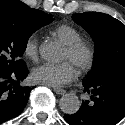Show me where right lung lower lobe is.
<instances>
[{
  "mask_svg": "<svg viewBox=\"0 0 125 125\" xmlns=\"http://www.w3.org/2000/svg\"><path fill=\"white\" fill-rule=\"evenodd\" d=\"M27 75L25 65L17 69L0 65V122L18 116L25 108L31 88L22 86L21 82Z\"/></svg>",
  "mask_w": 125,
  "mask_h": 125,
  "instance_id": "right-lung-lower-lobe-1",
  "label": "right lung lower lobe"
}]
</instances>
